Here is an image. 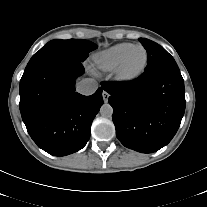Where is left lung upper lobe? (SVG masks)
Instances as JSON below:
<instances>
[{
	"mask_svg": "<svg viewBox=\"0 0 207 207\" xmlns=\"http://www.w3.org/2000/svg\"><path fill=\"white\" fill-rule=\"evenodd\" d=\"M139 41L147 50L148 54L145 70H151L165 63L175 61L174 58L159 44L146 38H139Z\"/></svg>",
	"mask_w": 207,
	"mask_h": 207,
	"instance_id": "left-lung-upper-lobe-1",
	"label": "left lung upper lobe"
}]
</instances>
